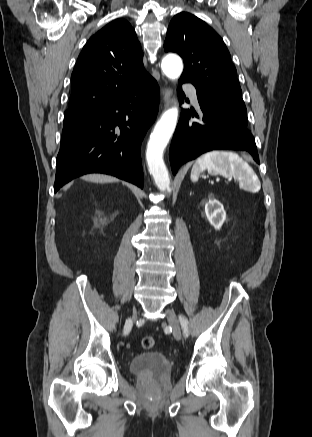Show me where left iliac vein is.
Listing matches in <instances>:
<instances>
[{
  "instance_id": "obj_1",
  "label": "left iliac vein",
  "mask_w": 312,
  "mask_h": 437,
  "mask_svg": "<svg viewBox=\"0 0 312 437\" xmlns=\"http://www.w3.org/2000/svg\"><path fill=\"white\" fill-rule=\"evenodd\" d=\"M184 319H186L185 317H183ZM166 319L170 325V327L173 330V335L177 340L181 339V328H180V324L177 318V315L175 313V311L173 309H167L166 310Z\"/></svg>"
}]
</instances>
